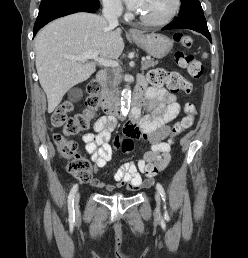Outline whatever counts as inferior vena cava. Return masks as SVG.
Returning a JSON list of instances; mask_svg holds the SVG:
<instances>
[{
	"label": "inferior vena cava",
	"instance_id": "1",
	"mask_svg": "<svg viewBox=\"0 0 248 258\" xmlns=\"http://www.w3.org/2000/svg\"><path fill=\"white\" fill-rule=\"evenodd\" d=\"M120 15L119 6L106 2L103 5L102 16L109 24V27L115 28L118 26V17Z\"/></svg>",
	"mask_w": 248,
	"mask_h": 258
}]
</instances>
